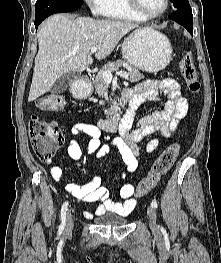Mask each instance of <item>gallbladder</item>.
Returning <instances> with one entry per match:
<instances>
[{
	"label": "gallbladder",
	"instance_id": "1",
	"mask_svg": "<svg viewBox=\"0 0 221 263\" xmlns=\"http://www.w3.org/2000/svg\"><path fill=\"white\" fill-rule=\"evenodd\" d=\"M78 77L79 73L75 71H70L68 73L63 74L51 88V93H64Z\"/></svg>",
	"mask_w": 221,
	"mask_h": 263
}]
</instances>
